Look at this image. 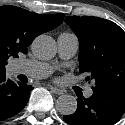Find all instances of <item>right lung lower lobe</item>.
<instances>
[{"instance_id":"right-lung-lower-lobe-1","label":"right lung lower lobe","mask_w":125,"mask_h":125,"mask_svg":"<svg viewBox=\"0 0 125 125\" xmlns=\"http://www.w3.org/2000/svg\"><path fill=\"white\" fill-rule=\"evenodd\" d=\"M32 89L21 82L16 84L7 80L5 74L0 75V121L19 113L28 102Z\"/></svg>"}]
</instances>
